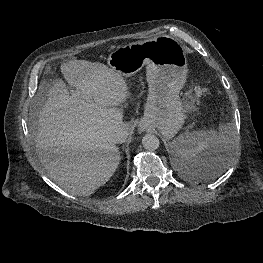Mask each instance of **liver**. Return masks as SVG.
Here are the masks:
<instances>
[{
	"mask_svg": "<svg viewBox=\"0 0 263 263\" xmlns=\"http://www.w3.org/2000/svg\"><path fill=\"white\" fill-rule=\"evenodd\" d=\"M69 92L57 80L39 111L36 149L52 180L65 191L90 196L113 176L120 152L111 139L123 123L117 107L128 97L120 73L99 62L69 60L61 64Z\"/></svg>",
	"mask_w": 263,
	"mask_h": 263,
	"instance_id": "liver-1",
	"label": "liver"
}]
</instances>
